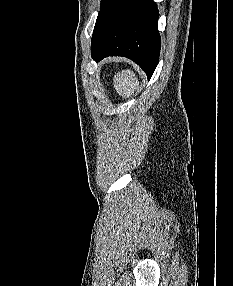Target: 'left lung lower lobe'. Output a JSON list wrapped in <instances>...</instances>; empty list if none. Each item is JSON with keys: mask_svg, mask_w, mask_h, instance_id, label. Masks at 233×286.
I'll return each instance as SVG.
<instances>
[{"mask_svg": "<svg viewBox=\"0 0 233 286\" xmlns=\"http://www.w3.org/2000/svg\"><path fill=\"white\" fill-rule=\"evenodd\" d=\"M159 12L153 0H102L91 41L95 61L125 56L151 78L159 61Z\"/></svg>", "mask_w": 233, "mask_h": 286, "instance_id": "0a47b994", "label": "left lung lower lobe"}]
</instances>
